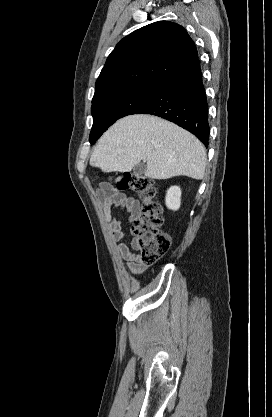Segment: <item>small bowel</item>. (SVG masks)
<instances>
[{"label":"small bowel","instance_id":"small-bowel-1","mask_svg":"<svg viewBox=\"0 0 272 417\" xmlns=\"http://www.w3.org/2000/svg\"><path fill=\"white\" fill-rule=\"evenodd\" d=\"M96 197L100 208L102 209L105 222L109 225L112 238L117 243L118 254L126 261V267L133 274L143 273L147 265L140 260V255L132 249H136V240H132L131 246L122 242L125 237L123 223L121 220L113 217V210L116 208L123 209L129 214V221H134L139 212V202L133 197L120 192L110 183L102 182L96 189Z\"/></svg>","mask_w":272,"mask_h":417}]
</instances>
